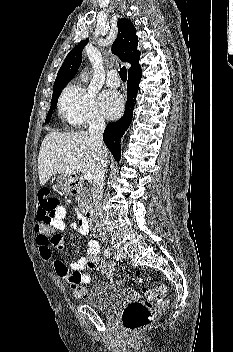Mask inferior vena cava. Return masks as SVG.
Here are the masks:
<instances>
[{
  "label": "inferior vena cava",
  "mask_w": 233,
  "mask_h": 352,
  "mask_svg": "<svg viewBox=\"0 0 233 352\" xmlns=\"http://www.w3.org/2000/svg\"><path fill=\"white\" fill-rule=\"evenodd\" d=\"M105 129V120L99 114H94L89 123V137L96 144L98 149V161L93 174V212L94 220L97 224L98 231L103 241H107V232L104 227L105 217L102 209L103 186L105 180V171L107 167V158L103 149V132Z\"/></svg>",
  "instance_id": "602c4592"
}]
</instances>
